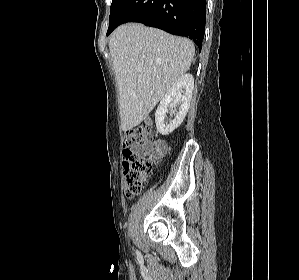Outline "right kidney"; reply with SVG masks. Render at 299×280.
<instances>
[{
  "instance_id": "ca27d5eb",
  "label": "right kidney",
  "mask_w": 299,
  "mask_h": 280,
  "mask_svg": "<svg viewBox=\"0 0 299 280\" xmlns=\"http://www.w3.org/2000/svg\"><path fill=\"white\" fill-rule=\"evenodd\" d=\"M193 88L194 78L192 74H184L161 99L155 112V123L160 134L168 135L182 124L189 110ZM168 107L173 110L175 117L172 121L165 123ZM177 107L178 111H176Z\"/></svg>"
}]
</instances>
